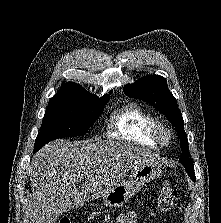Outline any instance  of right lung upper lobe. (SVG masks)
<instances>
[{"instance_id": "obj_1", "label": "right lung upper lobe", "mask_w": 221, "mask_h": 223, "mask_svg": "<svg viewBox=\"0 0 221 223\" xmlns=\"http://www.w3.org/2000/svg\"><path fill=\"white\" fill-rule=\"evenodd\" d=\"M112 93V91L110 92ZM109 95H104L98 98L96 95L90 94L82 86L76 83H66L53 96L49 103L70 102V101H97L109 98Z\"/></svg>"}]
</instances>
